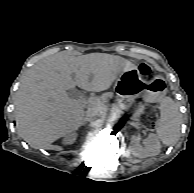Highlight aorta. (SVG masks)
Wrapping results in <instances>:
<instances>
[{
	"mask_svg": "<svg viewBox=\"0 0 194 193\" xmlns=\"http://www.w3.org/2000/svg\"><path fill=\"white\" fill-rule=\"evenodd\" d=\"M119 112L116 109H109L105 113V119L109 122H114L119 118Z\"/></svg>",
	"mask_w": 194,
	"mask_h": 193,
	"instance_id": "aorta-1",
	"label": "aorta"
}]
</instances>
